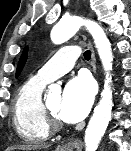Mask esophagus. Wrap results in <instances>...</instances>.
I'll use <instances>...</instances> for the list:
<instances>
[{
    "label": "esophagus",
    "mask_w": 131,
    "mask_h": 151,
    "mask_svg": "<svg viewBox=\"0 0 131 151\" xmlns=\"http://www.w3.org/2000/svg\"><path fill=\"white\" fill-rule=\"evenodd\" d=\"M92 66H93V70L96 71V58H95L94 50H92ZM74 145H75V142L70 141L64 145V148L65 149H72L74 147Z\"/></svg>",
    "instance_id": "obj_1"
}]
</instances>
